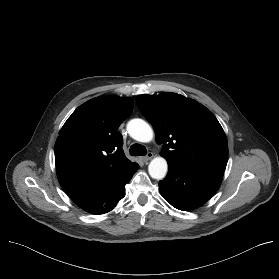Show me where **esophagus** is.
<instances>
[{
    "label": "esophagus",
    "mask_w": 279,
    "mask_h": 279,
    "mask_svg": "<svg viewBox=\"0 0 279 279\" xmlns=\"http://www.w3.org/2000/svg\"><path fill=\"white\" fill-rule=\"evenodd\" d=\"M153 153L152 152H148L146 156L143 157V161L144 162H148L149 160H151L153 158Z\"/></svg>",
    "instance_id": "34e87169"
}]
</instances>
